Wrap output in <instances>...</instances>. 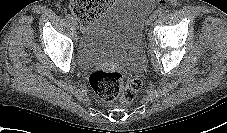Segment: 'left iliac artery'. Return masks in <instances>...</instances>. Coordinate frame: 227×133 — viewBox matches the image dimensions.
Segmentation results:
<instances>
[{"label":"left iliac artery","mask_w":227,"mask_h":133,"mask_svg":"<svg viewBox=\"0 0 227 133\" xmlns=\"http://www.w3.org/2000/svg\"><path fill=\"white\" fill-rule=\"evenodd\" d=\"M164 13H165V11L163 9H158V10L155 11L154 14L156 16H162V15H164Z\"/></svg>","instance_id":"obj_1"}]
</instances>
